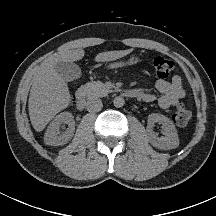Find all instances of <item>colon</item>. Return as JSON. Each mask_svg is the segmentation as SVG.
I'll list each match as a JSON object with an SVG mask.
<instances>
[{
	"mask_svg": "<svg viewBox=\"0 0 216 216\" xmlns=\"http://www.w3.org/2000/svg\"><path fill=\"white\" fill-rule=\"evenodd\" d=\"M152 66L156 75L160 78H166L172 72L174 64L171 60L162 57L155 56L152 60ZM191 119V112L182 103L176 105L173 121L178 127H185Z\"/></svg>",
	"mask_w": 216,
	"mask_h": 216,
	"instance_id": "obj_1",
	"label": "colon"
}]
</instances>
